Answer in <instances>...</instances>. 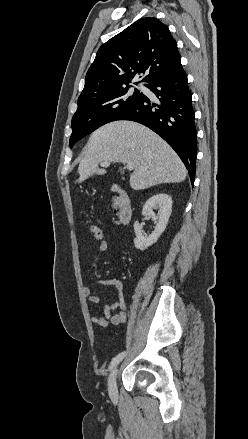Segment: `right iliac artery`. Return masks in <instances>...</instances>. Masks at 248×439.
<instances>
[{
	"instance_id": "1",
	"label": "right iliac artery",
	"mask_w": 248,
	"mask_h": 439,
	"mask_svg": "<svg viewBox=\"0 0 248 439\" xmlns=\"http://www.w3.org/2000/svg\"><path fill=\"white\" fill-rule=\"evenodd\" d=\"M126 356V352L124 351V352H121V353H119L118 355H116L113 359H112V361H111V363H110V365H109V371H111L120 361H122V359L124 358Z\"/></svg>"
}]
</instances>
